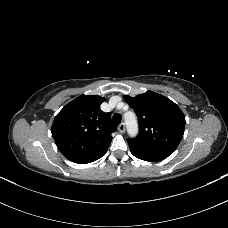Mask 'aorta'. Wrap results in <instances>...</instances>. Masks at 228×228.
<instances>
[{"label":"aorta","mask_w":228,"mask_h":228,"mask_svg":"<svg viewBox=\"0 0 228 228\" xmlns=\"http://www.w3.org/2000/svg\"><path fill=\"white\" fill-rule=\"evenodd\" d=\"M125 122L127 126L128 134L134 137L138 133V123L134 113L129 112L125 114Z\"/></svg>","instance_id":"obj_1"}]
</instances>
